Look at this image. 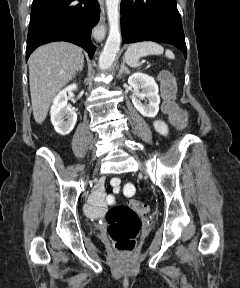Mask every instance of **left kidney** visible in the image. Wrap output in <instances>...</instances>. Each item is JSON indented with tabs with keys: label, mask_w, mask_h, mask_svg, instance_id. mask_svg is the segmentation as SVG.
<instances>
[{
	"label": "left kidney",
	"mask_w": 240,
	"mask_h": 288,
	"mask_svg": "<svg viewBox=\"0 0 240 288\" xmlns=\"http://www.w3.org/2000/svg\"><path fill=\"white\" fill-rule=\"evenodd\" d=\"M128 83L134 89L132 96L134 107L144 117H155L159 111L160 97L154 78L143 73H134L129 77ZM145 98H147L148 104L142 103Z\"/></svg>",
	"instance_id": "left-kidney-1"
}]
</instances>
